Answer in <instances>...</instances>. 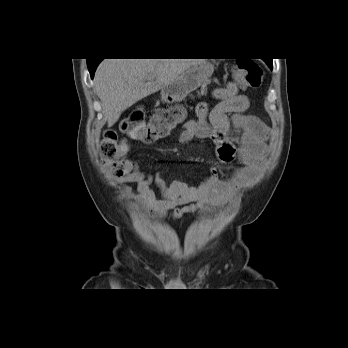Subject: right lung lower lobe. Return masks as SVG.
Segmentation results:
<instances>
[{
	"instance_id": "1",
	"label": "right lung lower lobe",
	"mask_w": 348,
	"mask_h": 348,
	"mask_svg": "<svg viewBox=\"0 0 348 348\" xmlns=\"http://www.w3.org/2000/svg\"><path fill=\"white\" fill-rule=\"evenodd\" d=\"M88 60H89L88 61L89 72L91 74V77L93 78L95 69L101 60H90V59Z\"/></svg>"
}]
</instances>
